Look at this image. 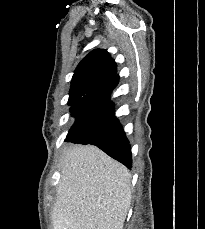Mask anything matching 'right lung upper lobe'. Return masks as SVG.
<instances>
[{"mask_svg": "<svg viewBox=\"0 0 205 229\" xmlns=\"http://www.w3.org/2000/svg\"><path fill=\"white\" fill-rule=\"evenodd\" d=\"M116 72V63L106 50H93L78 64L74 72L69 101H78L113 77Z\"/></svg>", "mask_w": 205, "mask_h": 229, "instance_id": "right-lung-upper-lobe-1", "label": "right lung upper lobe"}]
</instances>
